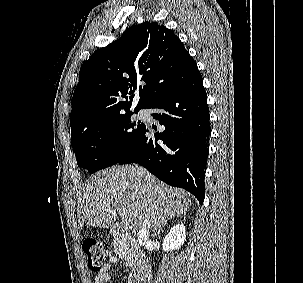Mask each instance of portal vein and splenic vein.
<instances>
[{
  "instance_id": "portal-vein-and-splenic-vein-1",
  "label": "portal vein and splenic vein",
  "mask_w": 303,
  "mask_h": 283,
  "mask_svg": "<svg viewBox=\"0 0 303 283\" xmlns=\"http://www.w3.org/2000/svg\"><path fill=\"white\" fill-rule=\"evenodd\" d=\"M122 223L125 225V226H129L130 225V219L128 217H123L122 218Z\"/></svg>"
}]
</instances>
